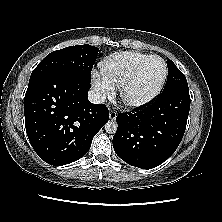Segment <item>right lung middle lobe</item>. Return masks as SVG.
Returning a JSON list of instances; mask_svg holds the SVG:
<instances>
[{"label":"right lung middle lobe","instance_id":"1","mask_svg":"<svg viewBox=\"0 0 222 222\" xmlns=\"http://www.w3.org/2000/svg\"><path fill=\"white\" fill-rule=\"evenodd\" d=\"M98 51L97 47L86 44L51 52L32 71L29 81L50 74H71L90 81Z\"/></svg>","mask_w":222,"mask_h":222}]
</instances>
